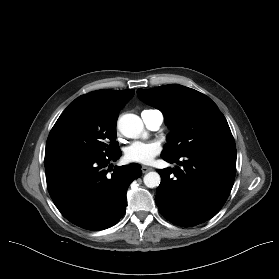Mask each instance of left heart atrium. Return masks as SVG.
I'll return each mask as SVG.
<instances>
[{
	"label": "left heart atrium",
	"mask_w": 279,
	"mask_h": 279,
	"mask_svg": "<svg viewBox=\"0 0 279 279\" xmlns=\"http://www.w3.org/2000/svg\"><path fill=\"white\" fill-rule=\"evenodd\" d=\"M161 151L157 142L136 141L126 147L124 155L129 162L149 164Z\"/></svg>",
	"instance_id": "left-heart-atrium-1"
}]
</instances>
